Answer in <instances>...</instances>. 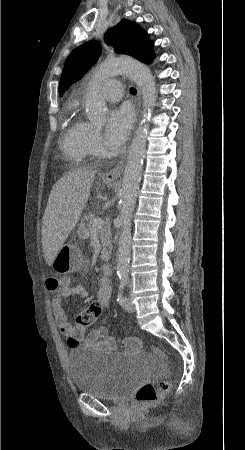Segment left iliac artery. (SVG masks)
<instances>
[{
    "label": "left iliac artery",
    "mask_w": 245,
    "mask_h": 450,
    "mask_svg": "<svg viewBox=\"0 0 245 450\" xmlns=\"http://www.w3.org/2000/svg\"><path fill=\"white\" fill-rule=\"evenodd\" d=\"M126 284H127V278L124 276H120V283H119L118 294H117V299H116L120 305H122L124 302L123 292L126 287Z\"/></svg>",
    "instance_id": "1"
}]
</instances>
